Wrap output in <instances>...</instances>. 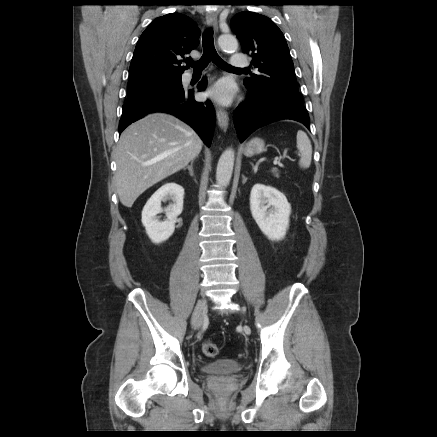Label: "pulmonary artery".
<instances>
[{
  "mask_svg": "<svg viewBox=\"0 0 437 437\" xmlns=\"http://www.w3.org/2000/svg\"><path fill=\"white\" fill-rule=\"evenodd\" d=\"M230 63L234 68H246L249 66V61L241 54H233Z\"/></svg>",
  "mask_w": 437,
  "mask_h": 437,
  "instance_id": "1",
  "label": "pulmonary artery"
}]
</instances>
